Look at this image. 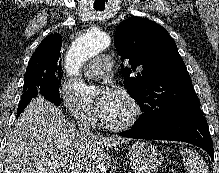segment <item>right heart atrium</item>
Returning a JSON list of instances; mask_svg holds the SVG:
<instances>
[{
	"label": "right heart atrium",
	"instance_id": "d8ad5b80",
	"mask_svg": "<svg viewBox=\"0 0 219 173\" xmlns=\"http://www.w3.org/2000/svg\"><path fill=\"white\" fill-rule=\"evenodd\" d=\"M60 100L77 122L88 126H93L96 123L94 111L87 107L76 94L65 90L61 92Z\"/></svg>",
	"mask_w": 219,
	"mask_h": 173
}]
</instances>
